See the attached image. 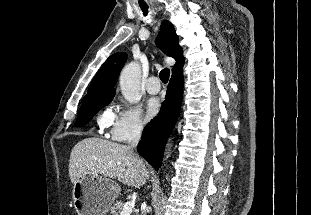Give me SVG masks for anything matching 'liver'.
Wrapping results in <instances>:
<instances>
[{
	"instance_id": "1",
	"label": "liver",
	"mask_w": 311,
	"mask_h": 215,
	"mask_svg": "<svg viewBox=\"0 0 311 215\" xmlns=\"http://www.w3.org/2000/svg\"><path fill=\"white\" fill-rule=\"evenodd\" d=\"M85 173L117 179L134 188H140L149 179V170L129 146L97 137L79 141L70 154L71 182L74 184Z\"/></svg>"
}]
</instances>
